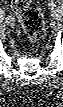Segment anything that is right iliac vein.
Instances as JSON below:
<instances>
[{"mask_svg":"<svg viewBox=\"0 0 63 107\" xmlns=\"http://www.w3.org/2000/svg\"><path fill=\"white\" fill-rule=\"evenodd\" d=\"M13 17L12 16H7L6 17V23H8V24H12L13 23Z\"/></svg>","mask_w":63,"mask_h":107,"instance_id":"right-iliac-vein-1","label":"right iliac vein"}]
</instances>
